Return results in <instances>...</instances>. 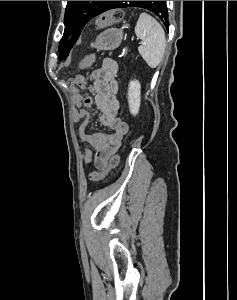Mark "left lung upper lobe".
Masks as SVG:
<instances>
[{
  "mask_svg": "<svg viewBox=\"0 0 237 300\" xmlns=\"http://www.w3.org/2000/svg\"><path fill=\"white\" fill-rule=\"evenodd\" d=\"M110 1H67L64 16L65 30L59 43V59L67 58L84 26L104 12ZM166 3V1H165ZM140 7L156 14L168 29V10L160 8V1H120V8Z\"/></svg>",
  "mask_w": 237,
  "mask_h": 300,
  "instance_id": "5c2ea615",
  "label": "left lung upper lobe"
}]
</instances>
